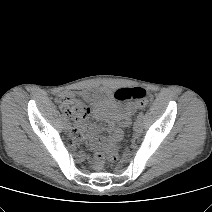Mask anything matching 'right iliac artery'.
<instances>
[{
    "label": "right iliac artery",
    "mask_w": 212,
    "mask_h": 212,
    "mask_svg": "<svg viewBox=\"0 0 212 212\" xmlns=\"http://www.w3.org/2000/svg\"><path fill=\"white\" fill-rule=\"evenodd\" d=\"M63 120H67V117L65 115H62Z\"/></svg>",
    "instance_id": "82829eb1"
}]
</instances>
